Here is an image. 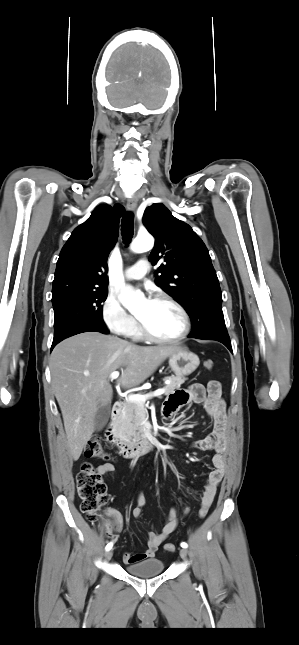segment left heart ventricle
<instances>
[{
	"label": "left heart ventricle",
	"instance_id": "b2bd125f",
	"mask_svg": "<svg viewBox=\"0 0 299 645\" xmlns=\"http://www.w3.org/2000/svg\"><path fill=\"white\" fill-rule=\"evenodd\" d=\"M136 316L158 337L176 336L183 327L179 312L165 302L153 301L149 304L145 301L139 307Z\"/></svg>",
	"mask_w": 299,
	"mask_h": 645
}]
</instances>
